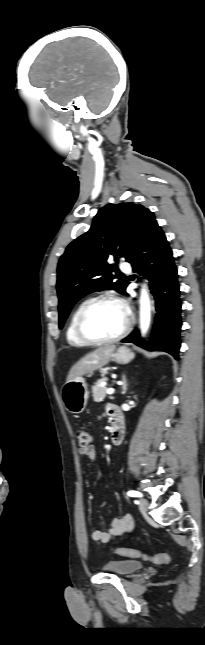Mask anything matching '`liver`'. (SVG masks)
<instances>
[{
    "label": "liver",
    "instance_id": "6515ba94",
    "mask_svg": "<svg viewBox=\"0 0 205 645\" xmlns=\"http://www.w3.org/2000/svg\"><path fill=\"white\" fill-rule=\"evenodd\" d=\"M115 345L102 346L81 358L69 371L67 381L92 373L107 365L112 357Z\"/></svg>",
    "mask_w": 205,
    "mask_h": 645
}]
</instances>
